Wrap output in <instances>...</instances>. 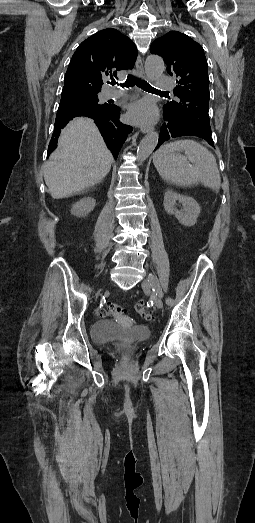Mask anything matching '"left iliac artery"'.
Returning a JSON list of instances; mask_svg holds the SVG:
<instances>
[{
  "instance_id": "1",
  "label": "left iliac artery",
  "mask_w": 255,
  "mask_h": 523,
  "mask_svg": "<svg viewBox=\"0 0 255 523\" xmlns=\"http://www.w3.org/2000/svg\"><path fill=\"white\" fill-rule=\"evenodd\" d=\"M153 288V291L156 292V294L161 298L163 297L162 289L158 288L156 285H151Z\"/></svg>"
}]
</instances>
